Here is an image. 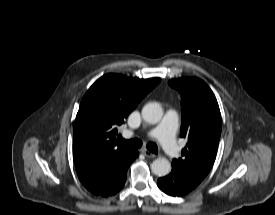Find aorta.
<instances>
[{"label": "aorta", "mask_w": 275, "mask_h": 215, "mask_svg": "<svg viewBox=\"0 0 275 215\" xmlns=\"http://www.w3.org/2000/svg\"><path fill=\"white\" fill-rule=\"evenodd\" d=\"M142 117L145 122L156 124L163 117V109L156 102L147 103L142 109ZM151 170L157 176H166L171 171V164L168 159L160 157L152 162Z\"/></svg>", "instance_id": "aorta-1"}]
</instances>
